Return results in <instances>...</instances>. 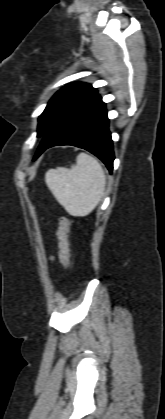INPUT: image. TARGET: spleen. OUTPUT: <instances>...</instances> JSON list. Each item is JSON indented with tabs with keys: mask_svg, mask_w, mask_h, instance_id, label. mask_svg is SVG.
I'll return each instance as SVG.
<instances>
[{
	"mask_svg": "<svg viewBox=\"0 0 165 419\" xmlns=\"http://www.w3.org/2000/svg\"><path fill=\"white\" fill-rule=\"evenodd\" d=\"M45 182L56 200L72 216L90 214L103 197L106 176L100 163L80 153L71 168L58 167L45 174Z\"/></svg>",
	"mask_w": 165,
	"mask_h": 419,
	"instance_id": "spleen-1",
	"label": "spleen"
}]
</instances>
